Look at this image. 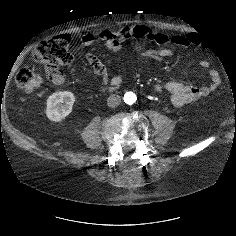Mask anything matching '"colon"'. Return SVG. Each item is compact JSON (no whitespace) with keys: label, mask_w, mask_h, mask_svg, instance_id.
<instances>
[{"label":"colon","mask_w":236,"mask_h":236,"mask_svg":"<svg viewBox=\"0 0 236 236\" xmlns=\"http://www.w3.org/2000/svg\"><path fill=\"white\" fill-rule=\"evenodd\" d=\"M33 59L42 70L23 68L16 76L18 87L26 92L38 89L44 79L52 80L60 74L61 67L72 62L69 39L65 36H57L39 43L33 51Z\"/></svg>","instance_id":"obj_1"}]
</instances>
